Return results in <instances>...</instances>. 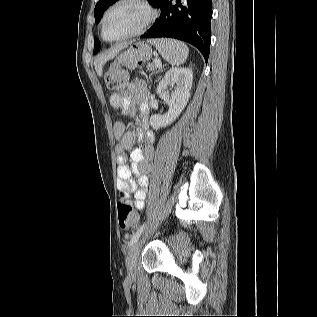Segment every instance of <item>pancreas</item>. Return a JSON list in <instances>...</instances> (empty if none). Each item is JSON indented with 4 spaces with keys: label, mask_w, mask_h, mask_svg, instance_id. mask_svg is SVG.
I'll return each instance as SVG.
<instances>
[{
    "label": "pancreas",
    "mask_w": 317,
    "mask_h": 317,
    "mask_svg": "<svg viewBox=\"0 0 317 317\" xmlns=\"http://www.w3.org/2000/svg\"><path fill=\"white\" fill-rule=\"evenodd\" d=\"M147 70L148 71H152V72H155L157 70V66L154 62H149L147 64Z\"/></svg>",
    "instance_id": "pancreas-1"
}]
</instances>
